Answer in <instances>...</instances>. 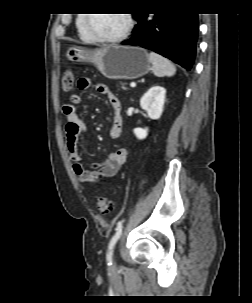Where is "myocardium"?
I'll use <instances>...</instances> for the list:
<instances>
[{"label": "myocardium", "instance_id": "f54148a6", "mask_svg": "<svg viewBox=\"0 0 252 303\" xmlns=\"http://www.w3.org/2000/svg\"><path fill=\"white\" fill-rule=\"evenodd\" d=\"M124 15L126 16L127 24L121 33L114 35V36H101V35L92 33L91 30L89 29V23H90L91 17H86L85 18V31L88 34L89 39L103 41V42H107V43H114V42H119V41L123 40L124 38H126L133 28L134 19H133L132 13H125Z\"/></svg>", "mask_w": 252, "mask_h": 303}]
</instances>
